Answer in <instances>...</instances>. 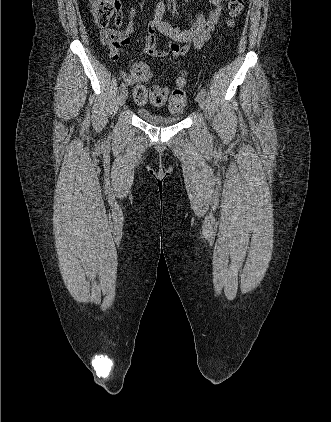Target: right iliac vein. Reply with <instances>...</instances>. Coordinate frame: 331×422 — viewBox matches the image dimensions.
<instances>
[{
	"mask_svg": "<svg viewBox=\"0 0 331 422\" xmlns=\"http://www.w3.org/2000/svg\"><path fill=\"white\" fill-rule=\"evenodd\" d=\"M127 98H128V91L125 88L124 90L120 92V95L118 98V104L122 106L126 102Z\"/></svg>",
	"mask_w": 331,
	"mask_h": 422,
	"instance_id": "obj_1",
	"label": "right iliac vein"
}]
</instances>
